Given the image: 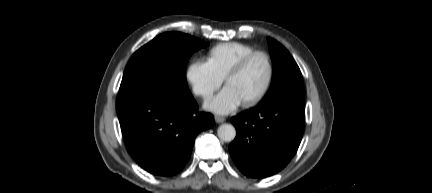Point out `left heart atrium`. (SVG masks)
Returning a JSON list of instances; mask_svg holds the SVG:
<instances>
[{"instance_id": "39dd6f15", "label": "left heart atrium", "mask_w": 432, "mask_h": 193, "mask_svg": "<svg viewBox=\"0 0 432 193\" xmlns=\"http://www.w3.org/2000/svg\"><path fill=\"white\" fill-rule=\"evenodd\" d=\"M241 103L238 95L229 87L206 104V107L220 114H226L236 109Z\"/></svg>"}]
</instances>
